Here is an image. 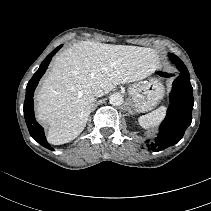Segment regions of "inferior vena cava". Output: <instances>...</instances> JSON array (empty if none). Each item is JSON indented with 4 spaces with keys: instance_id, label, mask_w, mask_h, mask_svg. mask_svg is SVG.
<instances>
[{
    "instance_id": "602c4592",
    "label": "inferior vena cava",
    "mask_w": 211,
    "mask_h": 211,
    "mask_svg": "<svg viewBox=\"0 0 211 211\" xmlns=\"http://www.w3.org/2000/svg\"><path fill=\"white\" fill-rule=\"evenodd\" d=\"M93 93H94V96L96 97H101L105 94L104 90L101 89L100 87L96 88Z\"/></svg>"
}]
</instances>
